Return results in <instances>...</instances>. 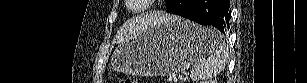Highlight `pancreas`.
Masks as SVG:
<instances>
[{"mask_svg": "<svg viewBox=\"0 0 307 83\" xmlns=\"http://www.w3.org/2000/svg\"><path fill=\"white\" fill-rule=\"evenodd\" d=\"M171 82H174V83H176V82H177V80H173V81H171Z\"/></svg>", "mask_w": 307, "mask_h": 83, "instance_id": "pancreas-1", "label": "pancreas"}]
</instances>
